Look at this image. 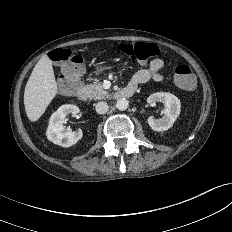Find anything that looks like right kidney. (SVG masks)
Wrapping results in <instances>:
<instances>
[{
    "label": "right kidney",
    "mask_w": 232,
    "mask_h": 232,
    "mask_svg": "<svg viewBox=\"0 0 232 232\" xmlns=\"http://www.w3.org/2000/svg\"><path fill=\"white\" fill-rule=\"evenodd\" d=\"M79 108L72 104H65L54 112L49 120L46 136L49 141L62 147H71L76 144L83 136L82 131H71L66 129L64 119L67 115H77Z\"/></svg>",
    "instance_id": "right-kidney-1"
}]
</instances>
